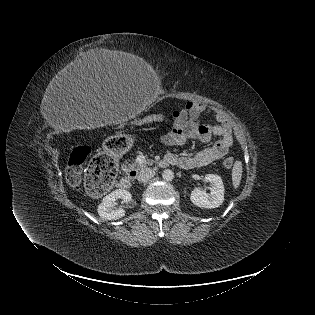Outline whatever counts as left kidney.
<instances>
[{
  "label": "left kidney",
  "mask_w": 315,
  "mask_h": 315,
  "mask_svg": "<svg viewBox=\"0 0 315 315\" xmlns=\"http://www.w3.org/2000/svg\"><path fill=\"white\" fill-rule=\"evenodd\" d=\"M205 182L210 183V193L200 189L191 192V202L201 208H217L224 201V185L222 179L216 174H207Z\"/></svg>",
  "instance_id": "left-kidney-1"
}]
</instances>
